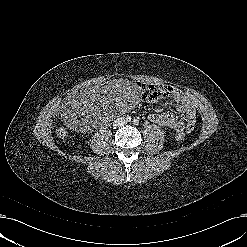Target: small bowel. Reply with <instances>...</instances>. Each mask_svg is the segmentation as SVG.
<instances>
[{
	"instance_id": "c3829d8e",
	"label": "small bowel",
	"mask_w": 247,
	"mask_h": 247,
	"mask_svg": "<svg viewBox=\"0 0 247 247\" xmlns=\"http://www.w3.org/2000/svg\"><path fill=\"white\" fill-rule=\"evenodd\" d=\"M152 86L157 90V96L153 99L143 96L147 102H154L158 98H172L176 104L177 110L182 114L183 119L178 120L176 117L167 112H157L149 115L150 121L163 127H167L174 131L191 132L194 129L196 122L195 108L192 102L179 89L162 84H142V89Z\"/></svg>"
}]
</instances>
